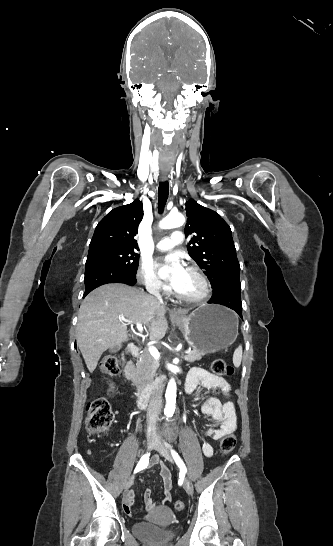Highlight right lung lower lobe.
Masks as SVG:
<instances>
[{
    "label": "right lung lower lobe",
    "instance_id": "98d812e1",
    "mask_svg": "<svg viewBox=\"0 0 333 546\" xmlns=\"http://www.w3.org/2000/svg\"><path fill=\"white\" fill-rule=\"evenodd\" d=\"M84 283L83 298L93 289L107 283H125L133 286L136 283V273L107 263L95 262L86 265Z\"/></svg>",
    "mask_w": 333,
    "mask_h": 546
}]
</instances>
